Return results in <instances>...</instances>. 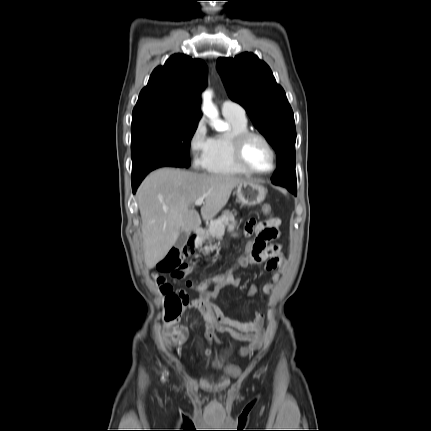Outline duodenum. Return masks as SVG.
Instances as JSON below:
<instances>
[{"mask_svg":"<svg viewBox=\"0 0 431 431\" xmlns=\"http://www.w3.org/2000/svg\"><path fill=\"white\" fill-rule=\"evenodd\" d=\"M204 236H205L204 230L200 227H197L193 230L190 241L193 243H198L203 240Z\"/></svg>","mask_w":431,"mask_h":431,"instance_id":"duodenum-1","label":"duodenum"}]
</instances>
